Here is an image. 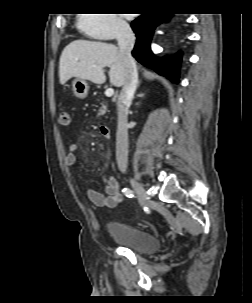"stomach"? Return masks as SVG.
I'll return each instance as SVG.
<instances>
[{
  "label": "stomach",
  "instance_id": "1",
  "mask_svg": "<svg viewBox=\"0 0 252 303\" xmlns=\"http://www.w3.org/2000/svg\"><path fill=\"white\" fill-rule=\"evenodd\" d=\"M72 90L76 97L83 99L88 95L89 85L85 80L76 78L72 82Z\"/></svg>",
  "mask_w": 252,
  "mask_h": 303
}]
</instances>
